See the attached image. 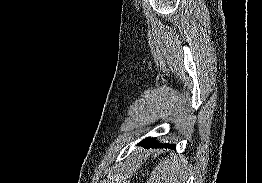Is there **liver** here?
Masks as SVG:
<instances>
[{
	"label": "liver",
	"mask_w": 262,
	"mask_h": 183,
	"mask_svg": "<svg viewBox=\"0 0 262 183\" xmlns=\"http://www.w3.org/2000/svg\"><path fill=\"white\" fill-rule=\"evenodd\" d=\"M186 178L185 159L176 154L162 159L152 170L147 183H184Z\"/></svg>",
	"instance_id": "obj_1"
}]
</instances>
